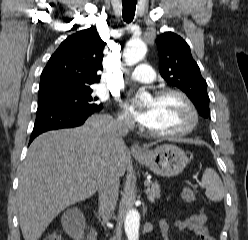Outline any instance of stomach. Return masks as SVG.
I'll use <instances>...</instances> for the list:
<instances>
[{
  "instance_id": "obj_1",
  "label": "stomach",
  "mask_w": 248,
  "mask_h": 240,
  "mask_svg": "<svg viewBox=\"0 0 248 240\" xmlns=\"http://www.w3.org/2000/svg\"><path fill=\"white\" fill-rule=\"evenodd\" d=\"M135 158L160 176L171 177L181 173L188 163L187 154L173 144H163L148 150L143 156Z\"/></svg>"
}]
</instances>
